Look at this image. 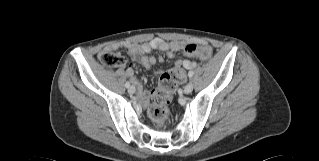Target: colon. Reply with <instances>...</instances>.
I'll return each instance as SVG.
<instances>
[{
	"mask_svg": "<svg viewBox=\"0 0 319 161\" xmlns=\"http://www.w3.org/2000/svg\"><path fill=\"white\" fill-rule=\"evenodd\" d=\"M196 50V43H188L184 48L186 54H193ZM211 55L212 51L209 47L202 48L197 54L201 61L209 60ZM101 60L108 68H119L127 62L125 55L113 50L103 53ZM182 82V68L180 67H174L162 75L158 87L152 93L153 101L149 108V115L152 119L159 123H164L168 120L172 95Z\"/></svg>",
	"mask_w": 319,
	"mask_h": 161,
	"instance_id": "colon-1",
	"label": "colon"
}]
</instances>
